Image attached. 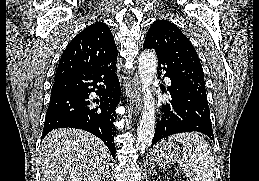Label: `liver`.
<instances>
[{"mask_svg": "<svg viewBox=\"0 0 259 181\" xmlns=\"http://www.w3.org/2000/svg\"><path fill=\"white\" fill-rule=\"evenodd\" d=\"M110 153L96 136L78 129H57L42 141L41 181H102Z\"/></svg>", "mask_w": 259, "mask_h": 181, "instance_id": "liver-1", "label": "liver"}]
</instances>
